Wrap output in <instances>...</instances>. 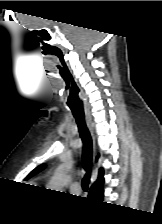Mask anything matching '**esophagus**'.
I'll list each match as a JSON object with an SVG mask.
<instances>
[{
    "label": "esophagus",
    "instance_id": "1",
    "mask_svg": "<svg viewBox=\"0 0 162 224\" xmlns=\"http://www.w3.org/2000/svg\"><path fill=\"white\" fill-rule=\"evenodd\" d=\"M86 121H87V124H88V126L90 128V131H91V134H92V138H93V142H94V145H95V138H94V134H93V129L91 127V118H87Z\"/></svg>",
    "mask_w": 162,
    "mask_h": 224
}]
</instances>
